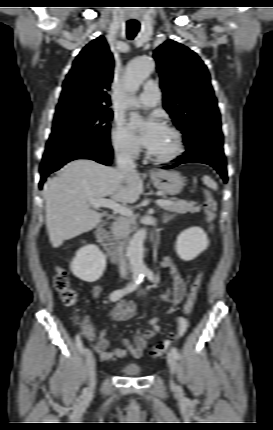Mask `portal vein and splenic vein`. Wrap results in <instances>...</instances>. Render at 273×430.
<instances>
[{"label": "portal vein and splenic vein", "mask_w": 273, "mask_h": 430, "mask_svg": "<svg viewBox=\"0 0 273 430\" xmlns=\"http://www.w3.org/2000/svg\"><path fill=\"white\" fill-rule=\"evenodd\" d=\"M156 203L159 206H167V205H171L172 202L168 201V200H164V199H158L156 201ZM89 204L95 208H99V207H107L110 208L112 210H114L115 212L123 215V216H131L133 215V211L131 209L125 208L124 206H122L119 203H116L113 200L110 199H105V198H100V199H90L89 200Z\"/></svg>", "instance_id": "obj_1"}]
</instances>
